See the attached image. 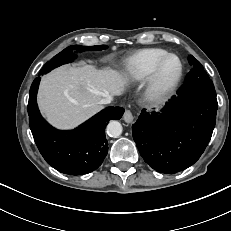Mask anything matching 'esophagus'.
I'll use <instances>...</instances> for the list:
<instances>
[{
	"label": "esophagus",
	"instance_id": "1",
	"mask_svg": "<svg viewBox=\"0 0 231 231\" xmlns=\"http://www.w3.org/2000/svg\"><path fill=\"white\" fill-rule=\"evenodd\" d=\"M123 120L126 123H131L133 121V114L130 110H126L124 115H123Z\"/></svg>",
	"mask_w": 231,
	"mask_h": 231
}]
</instances>
